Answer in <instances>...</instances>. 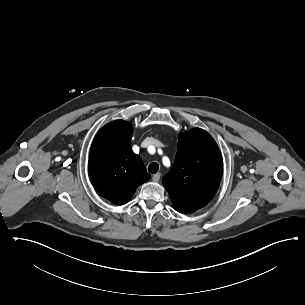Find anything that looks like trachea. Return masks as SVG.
<instances>
[{"label": "trachea", "mask_w": 305, "mask_h": 305, "mask_svg": "<svg viewBox=\"0 0 305 305\" xmlns=\"http://www.w3.org/2000/svg\"><path fill=\"white\" fill-rule=\"evenodd\" d=\"M158 170H159V164L156 163V162L151 163L149 165V167H148L149 173H153L154 174V173H157Z\"/></svg>", "instance_id": "trachea-1"}]
</instances>
